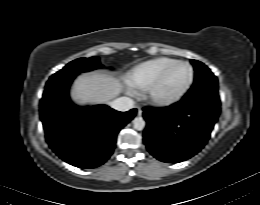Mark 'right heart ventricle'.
I'll return each instance as SVG.
<instances>
[{
	"mask_svg": "<svg viewBox=\"0 0 260 205\" xmlns=\"http://www.w3.org/2000/svg\"><path fill=\"white\" fill-rule=\"evenodd\" d=\"M175 61L171 57H158L140 63L128 75L127 83L135 89H146L162 70Z\"/></svg>",
	"mask_w": 260,
	"mask_h": 205,
	"instance_id": "1",
	"label": "right heart ventricle"
}]
</instances>
